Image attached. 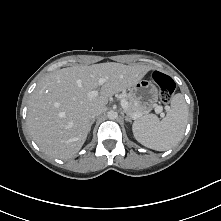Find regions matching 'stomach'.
<instances>
[{
    "instance_id": "stomach-1",
    "label": "stomach",
    "mask_w": 221,
    "mask_h": 221,
    "mask_svg": "<svg viewBox=\"0 0 221 221\" xmlns=\"http://www.w3.org/2000/svg\"><path fill=\"white\" fill-rule=\"evenodd\" d=\"M130 93L146 112L149 111L158 100V90L156 86L148 80H140L137 82L130 88Z\"/></svg>"
}]
</instances>
